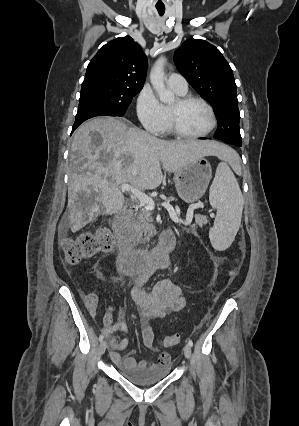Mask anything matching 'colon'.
I'll list each match as a JSON object with an SVG mask.
<instances>
[{
    "instance_id": "colon-1",
    "label": "colon",
    "mask_w": 299,
    "mask_h": 426,
    "mask_svg": "<svg viewBox=\"0 0 299 426\" xmlns=\"http://www.w3.org/2000/svg\"><path fill=\"white\" fill-rule=\"evenodd\" d=\"M114 246V238L107 228H99L92 233H84L77 238H64L61 241L65 260L69 264H78L84 259L91 258L98 253L108 252ZM236 271L231 273L234 276ZM90 307L96 305L94 296L88 297ZM161 343L166 347H173L180 343V336L177 334L165 336Z\"/></svg>"
}]
</instances>
